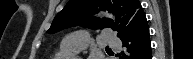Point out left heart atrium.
I'll use <instances>...</instances> for the list:
<instances>
[{
	"label": "left heart atrium",
	"mask_w": 193,
	"mask_h": 59,
	"mask_svg": "<svg viewBox=\"0 0 193 59\" xmlns=\"http://www.w3.org/2000/svg\"><path fill=\"white\" fill-rule=\"evenodd\" d=\"M90 59H97L96 55L90 57Z\"/></svg>",
	"instance_id": "39dd6f15"
}]
</instances>
